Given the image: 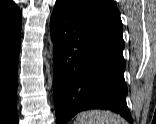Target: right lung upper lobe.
Instances as JSON below:
<instances>
[{
  "label": "right lung upper lobe",
  "mask_w": 156,
  "mask_h": 124,
  "mask_svg": "<svg viewBox=\"0 0 156 124\" xmlns=\"http://www.w3.org/2000/svg\"><path fill=\"white\" fill-rule=\"evenodd\" d=\"M21 26V13L11 0H0V30H12Z\"/></svg>",
  "instance_id": "1"
}]
</instances>
